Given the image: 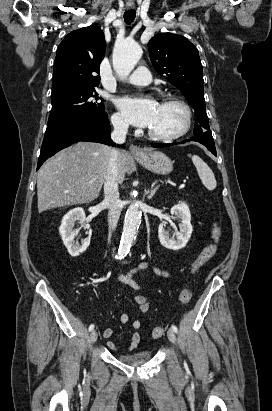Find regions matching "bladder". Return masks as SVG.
I'll list each match as a JSON object with an SVG mask.
<instances>
[{
  "mask_svg": "<svg viewBox=\"0 0 272 411\" xmlns=\"http://www.w3.org/2000/svg\"><path fill=\"white\" fill-rule=\"evenodd\" d=\"M151 359L150 352L119 355L118 360L127 364H142Z\"/></svg>",
  "mask_w": 272,
  "mask_h": 411,
  "instance_id": "1",
  "label": "bladder"
}]
</instances>
